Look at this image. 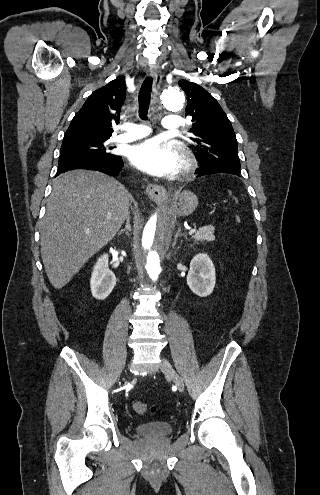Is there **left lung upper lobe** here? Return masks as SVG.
I'll return each mask as SVG.
<instances>
[{
	"instance_id": "left-lung-upper-lobe-1",
	"label": "left lung upper lobe",
	"mask_w": 320,
	"mask_h": 495,
	"mask_svg": "<svg viewBox=\"0 0 320 495\" xmlns=\"http://www.w3.org/2000/svg\"><path fill=\"white\" fill-rule=\"evenodd\" d=\"M179 86L187 95L186 116L192 117L197 160L205 166L240 170L236 136L219 103L196 83L181 80Z\"/></svg>"
}]
</instances>
